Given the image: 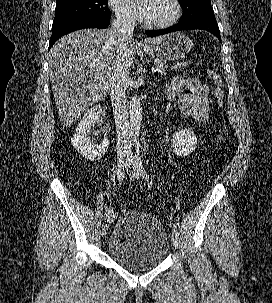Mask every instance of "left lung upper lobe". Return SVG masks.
<instances>
[{"label":"left lung upper lobe","mask_w":272,"mask_h":303,"mask_svg":"<svg viewBox=\"0 0 272 303\" xmlns=\"http://www.w3.org/2000/svg\"><path fill=\"white\" fill-rule=\"evenodd\" d=\"M183 15L179 22L215 19L210 0H179Z\"/></svg>","instance_id":"1"}]
</instances>
